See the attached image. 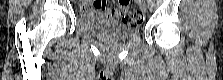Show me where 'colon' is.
Wrapping results in <instances>:
<instances>
[{"label": "colon", "mask_w": 223, "mask_h": 80, "mask_svg": "<svg viewBox=\"0 0 223 80\" xmlns=\"http://www.w3.org/2000/svg\"><path fill=\"white\" fill-rule=\"evenodd\" d=\"M117 7L121 12L123 22L129 25H138L142 22V14L137 10H129L128 0H120L117 3Z\"/></svg>", "instance_id": "1"}]
</instances>
